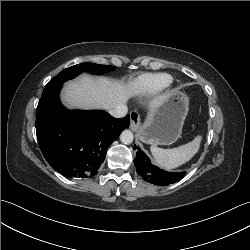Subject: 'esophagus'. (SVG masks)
Wrapping results in <instances>:
<instances>
[{
	"label": "esophagus",
	"instance_id": "obj_1",
	"mask_svg": "<svg viewBox=\"0 0 250 250\" xmlns=\"http://www.w3.org/2000/svg\"><path fill=\"white\" fill-rule=\"evenodd\" d=\"M140 127V115L137 111L130 113V128L133 131H137Z\"/></svg>",
	"mask_w": 250,
	"mask_h": 250
}]
</instances>
